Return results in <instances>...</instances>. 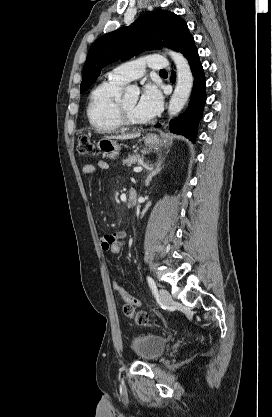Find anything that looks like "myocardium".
<instances>
[{"mask_svg":"<svg viewBox=\"0 0 272 417\" xmlns=\"http://www.w3.org/2000/svg\"><path fill=\"white\" fill-rule=\"evenodd\" d=\"M117 118L120 125L124 128H137L146 123L145 121L138 122L131 119L124 109L122 101H119L117 104Z\"/></svg>","mask_w":272,"mask_h":417,"instance_id":"obj_1","label":"myocardium"}]
</instances>
